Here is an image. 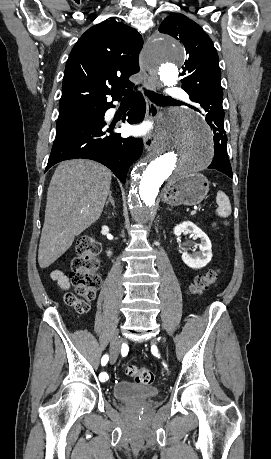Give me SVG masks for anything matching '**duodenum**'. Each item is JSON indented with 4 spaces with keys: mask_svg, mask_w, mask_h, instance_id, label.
Segmentation results:
<instances>
[{
    "mask_svg": "<svg viewBox=\"0 0 271 459\" xmlns=\"http://www.w3.org/2000/svg\"><path fill=\"white\" fill-rule=\"evenodd\" d=\"M112 255H113V250H112L110 247H108V248H107V256H108L109 258H111Z\"/></svg>",
    "mask_w": 271,
    "mask_h": 459,
    "instance_id": "obj_1",
    "label": "duodenum"
}]
</instances>
